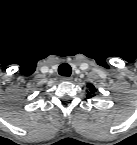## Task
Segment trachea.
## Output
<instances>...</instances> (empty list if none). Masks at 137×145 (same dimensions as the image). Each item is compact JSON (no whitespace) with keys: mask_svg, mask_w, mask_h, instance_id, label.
Wrapping results in <instances>:
<instances>
[{"mask_svg":"<svg viewBox=\"0 0 137 145\" xmlns=\"http://www.w3.org/2000/svg\"><path fill=\"white\" fill-rule=\"evenodd\" d=\"M58 73L61 76H66L69 77L72 73V69L71 66L67 63H62L59 67H58Z\"/></svg>","mask_w":137,"mask_h":145,"instance_id":"obj_1","label":"trachea"}]
</instances>
